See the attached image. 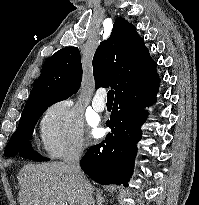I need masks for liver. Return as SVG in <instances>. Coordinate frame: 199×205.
<instances>
[{
	"label": "liver",
	"instance_id": "obj_1",
	"mask_svg": "<svg viewBox=\"0 0 199 205\" xmlns=\"http://www.w3.org/2000/svg\"><path fill=\"white\" fill-rule=\"evenodd\" d=\"M17 179L20 205H95L93 186L86 178L80 182L64 162L27 164Z\"/></svg>",
	"mask_w": 199,
	"mask_h": 205
}]
</instances>
